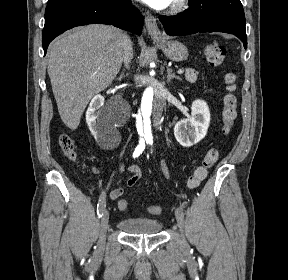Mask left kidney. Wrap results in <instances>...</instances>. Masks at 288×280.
Returning <instances> with one entry per match:
<instances>
[{
	"label": "left kidney",
	"mask_w": 288,
	"mask_h": 280,
	"mask_svg": "<svg viewBox=\"0 0 288 280\" xmlns=\"http://www.w3.org/2000/svg\"><path fill=\"white\" fill-rule=\"evenodd\" d=\"M191 110V117L180 120L174 127L175 138L183 147H191L201 141L210 124V111L205 101L195 100Z\"/></svg>",
	"instance_id": "1"
}]
</instances>
